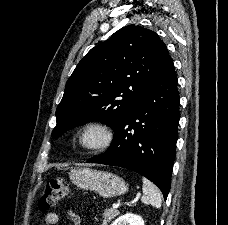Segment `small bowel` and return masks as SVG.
I'll list each match as a JSON object with an SVG mask.
<instances>
[{
	"label": "small bowel",
	"mask_w": 228,
	"mask_h": 225,
	"mask_svg": "<svg viewBox=\"0 0 228 225\" xmlns=\"http://www.w3.org/2000/svg\"><path fill=\"white\" fill-rule=\"evenodd\" d=\"M67 217L72 223V225H80L81 220L79 215H77L74 211L68 210ZM45 223L46 225H58L59 224V215L56 212H49L45 215Z\"/></svg>",
	"instance_id": "small-bowel-1"
}]
</instances>
